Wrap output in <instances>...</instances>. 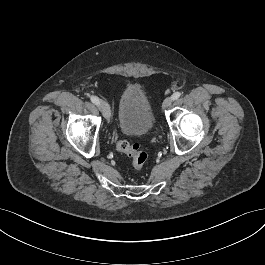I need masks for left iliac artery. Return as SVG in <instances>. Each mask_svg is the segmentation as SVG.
<instances>
[{"label":"left iliac artery","instance_id":"obj_1","mask_svg":"<svg viewBox=\"0 0 265 265\" xmlns=\"http://www.w3.org/2000/svg\"><path fill=\"white\" fill-rule=\"evenodd\" d=\"M180 96H181V93H180V92H175V93L171 96V98H172V100H177Z\"/></svg>","mask_w":265,"mask_h":265}]
</instances>
